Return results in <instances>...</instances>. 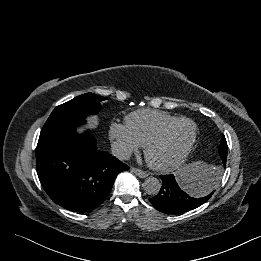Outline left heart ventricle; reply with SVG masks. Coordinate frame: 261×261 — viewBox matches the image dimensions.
Listing matches in <instances>:
<instances>
[{"instance_id":"1","label":"left heart ventricle","mask_w":261,"mask_h":261,"mask_svg":"<svg viewBox=\"0 0 261 261\" xmlns=\"http://www.w3.org/2000/svg\"><path fill=\"white\" fill-rule=\"evenodd\" d=\"M193 133L189 122L182 121L172 126L150 150V158L159 164L177 159L188 145Z\"/></svg>"}]
</instances>
